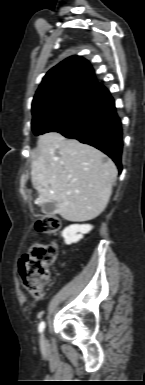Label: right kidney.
<instances>
[{"instance_id":"1","label":"right kidney","mask_w":145,"mask_h":385,"mask_svg":"<svg viewBox=\"0 0 145 385\" xmlns=\"http://www.w3.org/2000/svg\"><path fill=\"white\" fill-rule=\"evenodd\" d=\"M93 229L89 224H74L66 227L62 232V237L67 245L77 243L83 238L84 234L89 233Z\"/></svg>"}]
</instances>
